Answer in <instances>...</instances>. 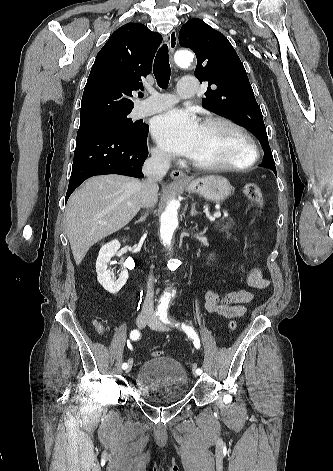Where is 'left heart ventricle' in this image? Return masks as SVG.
Here are the masks:
<instances>
[{
  "label": "left heart ventricle",
  "mask_w": 333,
  "mask_h": 471,
  "mask_svg": "<svg viewBox=\"0 0 333 471\" xmlns=\"http://www.w3.org/2000/svg\"><path fill=\"white\" fill-rule=\"evenodd\" d=\"M242 137L223 124L201 126L192 159L206 164L235 163L247 156Z\"/></svg>",
  "instance_id": "b2bd125f"
}]
</instances>
